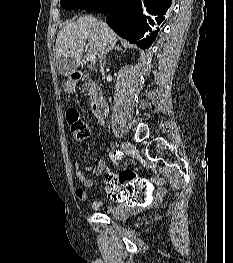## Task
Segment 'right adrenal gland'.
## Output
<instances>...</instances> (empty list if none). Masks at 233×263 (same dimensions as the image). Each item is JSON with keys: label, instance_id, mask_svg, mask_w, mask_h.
Instances as JSON below:
<instances>
[{"label": "right adrenal gland", "instance_id": "obj_1", "mask_svg": "<svg viewBox=\"0 0 233 263\" xmlns=\"http://www.w3.org/2000/svg\"><path fill=\"white\" fill-rule=\"evenodd\" d=\"M112 50H121L120 46H116V41L110 42L109 47L106 49L104 54V61H106L107 54Z\"/></svg>", "mask_w": 233, "mask_h": 263}]
</instances>
